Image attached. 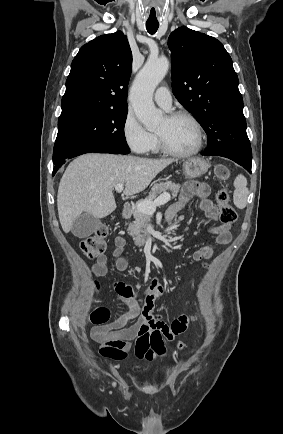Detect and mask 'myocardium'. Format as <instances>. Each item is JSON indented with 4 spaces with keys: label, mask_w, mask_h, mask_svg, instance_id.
<instances>
[{
    "label": "myocardium",
    "mask_w": 283,
    "mask_h": 434,
    "mask_svg": "<svg viewBox=\"0 0 283 434\" xmlns=\"http://www.w3.org/2000/svg\"><path fill=\"white\" fill-rule=\"evenodd\" d=\"M166 117L169 120L184 118V119H187L188 121H190L191 124L193 125L194 129H195V132H196V144H195L194 148L189 150V151H186V152L176 151V150H173L172 148L169 147V145L166 143V141L162 135L157 133V138H158V142H159V146H160L161 150L165 154H168L170 156L177 157V158H188V157H191V156L198 154L201 151V149L203 147V143H204V132H203V128H202L200 122L198 121V119L192 113L185 111V110H179V111L171 112Z\"/></svg>",
    "instance_id": "myocardium-1"
}]
</instances>
